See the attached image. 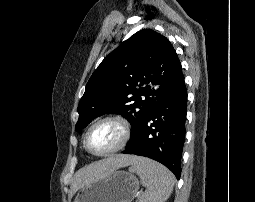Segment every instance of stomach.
Listing matches in <instances>:
<instances>
[{
	"label": "stomach",
	"mask_w": 255,
	"mask_h": 202,
	"mask_svg": "<svg viewBox=\"0 0 255 202\" xmlns=\"http://www.w3.org/2000/svg\"><path fill=\"white\" fill-rule=\"evenodd\" d=\"M138 189L135 176L115 170L80 187L73 202H132Z\"/></svg>",
	"instance_id": "1"
}]
</instances>
